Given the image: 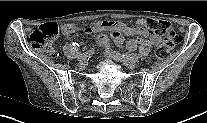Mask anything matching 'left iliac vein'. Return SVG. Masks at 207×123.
I'll return each mask as SVG.
<instances>
[{
	"label": "left iliac vein",
	"mask_w": 207,
	"mask_h": 123,
	"mask_svg": "<svg viewBox=\"0 0 207 123\" xmlns=\"http://www.w3.org/2000/svg\"><path fill=\"white\" fill-rule=\"evenodd\" d=\"M112 57L117 61H122L124 65L130 69H134L136 67V62H132L122 58L120 55H116L113 53Z\"/></svg>",
	"instance_id": "left-iliac-vein-1"
}]
</instances>
